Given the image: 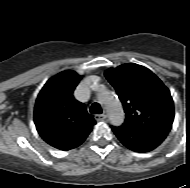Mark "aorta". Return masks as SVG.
<instances>
[{
  "label": "aorta",
  "mask_w": 190,
  "mask_h": 188,
  "mask_svg": "<svg viewBox=\"0 0 190 188\" xmlns=\"http://www.w3.org/2000/svg\"><path fill=\"white\" fill-rule=\"evenodd\" d=\"M99 101L106 110L109 120L112 124L120 125L123 123L124 112L122 105L113 92L103 88L99 96Z\"/></svg>",
  "instance_id": "aorta-1"
}]
</instances>
